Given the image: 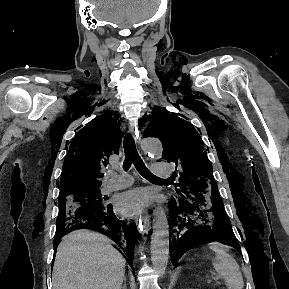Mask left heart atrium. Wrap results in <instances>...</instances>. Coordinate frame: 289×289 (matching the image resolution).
<instances>
[{
    "label": "left heart atrium",
    "instance_id": "1",
    "mask_svg": "<svg viewBox=\"0 0 289 289\" xmlns=\"http://www.w3.org/2000/svg\"><path fill=\"white\" fill-rule=\"evenodd\" d=\"M152 195L143 188L133 189L118 195L115 201L116 210L128 217L139 215L151 202Z\"/></svg>",
    "mask_w": 289,
    "mask_h": 289
}]
</instances>
